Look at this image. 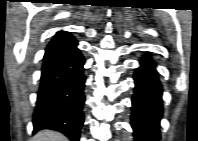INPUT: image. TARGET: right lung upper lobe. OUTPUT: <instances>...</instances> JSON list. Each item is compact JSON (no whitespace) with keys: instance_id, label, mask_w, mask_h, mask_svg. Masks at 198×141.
I'll use <instances>...</instances> for the list:
<instances>
[{"instance_id":"1","label":"right lung upper lobe","mask_w":198,"mask_h":141,"mask_svg":"<svg viewBox=\"0 0 198 141\" xmlns=\"http://www.w3.org/2000/svg\"><path fill=\"white\" fill-rule=\"evenodd\" d=\"M65 33V31L58 32L55 36Z\"/></svg>"}]
</instances>
